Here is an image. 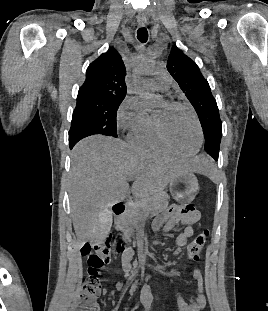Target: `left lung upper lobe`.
Returning <instances> with one entry per match:
<instances>
[{
  "instance_id": "obj_1",
  "label": "left lung upper lobe",
  "mask_w": 268,
  "mask_h": 311,
  "mask_svg": "<svg viewBox=\"0 0 268 311\" xmlns=\"http://www.w3.org/2000/svg\"><path fill=\"white\" fill-rule=\"evenodd\" d=\"M167 70L197 112L205 137V151L214 158L213 155H219L222 122L207 80L196 63L176 46L171 49Z\"/></svg>"
}]
</instances>
